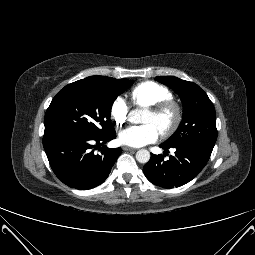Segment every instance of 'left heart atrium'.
<instances>
[{
  "instance_id": "left-heart-atrium-1",
  "label": "left heart atrium",
  "mask_w": 255,
  "mask_h": 255,
  "mask_svg": "<svg viewBox=\"0 0 255 255\" xmlns=\"http://www.w3.org/2000/svg\"><path fill=\"white\" fill-rule=\"evenodd\" d=\"M161 131L153 124L131 126L119 133V140L122 144L141 147L158 140Z\"/></svg>"
}]
</instances>
